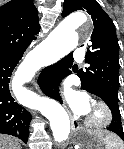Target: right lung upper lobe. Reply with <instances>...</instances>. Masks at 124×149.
I'll return each mask as SVG.
<instances>
[{"label": "right lung upper lobe", "instance_id": "right-lung-upper-lobe-1", "mask_svg": "<svg viewBox=\"0 0 124 149\" xmlns=\"http://www.w3.org/2000/svg\"><path fill=\"white\" fill-rule=\"evenodd\" d=\"M32 0H11L0 7V55L25 52L40 31Z\"/></svg>", "mask_w": 124, "mask_h": 149}]
</instances>
